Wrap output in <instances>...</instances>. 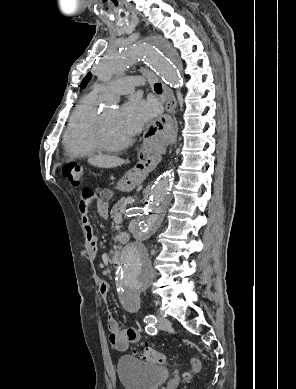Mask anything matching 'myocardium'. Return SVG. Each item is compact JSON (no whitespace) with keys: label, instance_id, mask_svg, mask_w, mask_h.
I'll use <instances>...</instances> for the list:
<instances>
[{"label":"myocardium","instance_id":"obj_1","mask_svg":"<svg viewBox=\"0 0 296 389\" xmlns=\"http://www.w3.org/2000/svg\"><path fill=\"white\" fill-rule=\"evenodd\" d=\"M95 141L100 151L116 152L124 149L131 143V139H126L119 143H111L105 133L104 120L102 115H98L95 122Z\"/></svg>","mask_w":296,"mask_h":389}]
</instances>
